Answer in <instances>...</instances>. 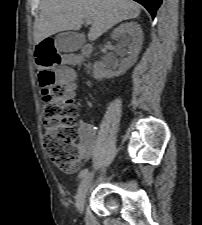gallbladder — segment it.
I'll list each match as a JSON object with an SVG mask.
<instances>
[{"instance_id":"1","label":"gallbladder","mask_w":202,"mask_h":225,"mask_svg":"<svg viewBox=\"0 0 202 225\" xmlns=\"http://www.w3.org/2000/svg\"><path fill=\"white\" fill-rule=\"evenodd\" d=\"M85 40L82 34L74 31H66L55 36V47L59 52L78 51Z\"/></svg>"}]
</instances>
